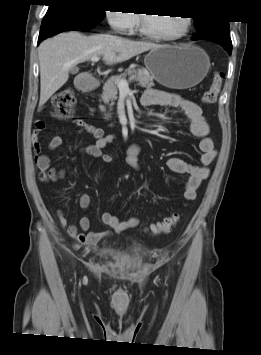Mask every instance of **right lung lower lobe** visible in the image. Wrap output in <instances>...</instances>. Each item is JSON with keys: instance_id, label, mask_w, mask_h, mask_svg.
Returning <instances> with one entry per match:
<instances>
[{"instance_id": "right-lung-lower-lobe-1", "label": "right lung lower lobe", "mask_w": 261, "mask_h": 355, "mask_svg": "<svg viewBox=\"0 0 261 355\" xmlns=\"http://www.w3.org/2000/svg\"><path fill=\"white\" fill-rule=\"evenodd\" d=\"M97 24L74 11L50 9L42 20L38 44L52 35L67 30L86 31L94 28Z\"/></svg>"}]
</instances>
